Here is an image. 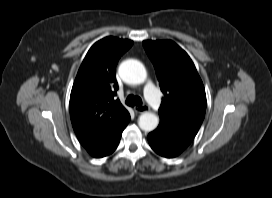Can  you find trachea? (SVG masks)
Here are the masks:
<instances>
[{
    "instance_id": "1",
    "label": "trachea",
    "mask_w": 272,
    "mask_h": 198,
    "mask_svg": "<svg viewBox=\"0 0 272 198\" xmlns=\"http://www.w3.org/2000/svg\"><path fill=\"white\" fill-rule=\"evenodd\" d=\"M125 103L128 106H131V107H133V106H141L142 105V99L139 96L129 95L126 98Z\"/></svg>"
}]
</instances>
